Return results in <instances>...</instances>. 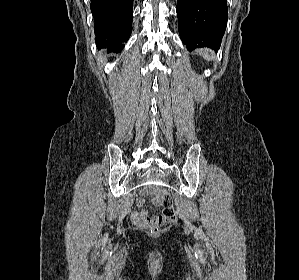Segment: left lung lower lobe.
I'll return each mask as SVG.
<instances>
[{"label": "left lung lower lobe", "mask_w": 299, "mask_h": 280, "mask_svg": "<svg viewBox=\"0 0 299 280\" xmlns=\"http://www.w3.org/2000/svg\"><path fill=\"white\" fill-rule=\"evenodd\" d=\"M178 30L188 50H218L228 20L227 0H177Z\"/></svg>", "instance_id": "left-lung-lower-lobe-1"}]
</instances>
